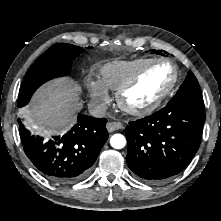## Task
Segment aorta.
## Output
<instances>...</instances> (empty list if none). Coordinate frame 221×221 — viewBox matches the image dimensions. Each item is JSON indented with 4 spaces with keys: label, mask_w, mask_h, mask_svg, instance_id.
I'll use <instances>...</instances> for the list:
<instances>
[{
    "label": "aorta",
    "mask_w": 221,
    "mask_h": 221,
    "mask_svg": "<svg viewBox=\"0 0 221 221\" xmlns=\"http://www.w3.org/2000/svg\"><path fill=\"white\" fill-rule=\"evenodd\" d=\"M110 145L115 149H122L126 145V138L122 134H114L110 138Z\"/></svg>",
    "instance_id": "1"
}]
</instances>
